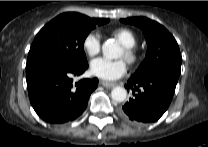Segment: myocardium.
Listing matches in <instances>:
<instances>
[{
    "instance_id": "1",
    "label": "myocardium",
    "mask_w": 208,
    "mask_h": 147,
    "mask_svg": "<svg viewBox=\"0 0 208 147\" xmlns=\"http://www.w3.org/2000/svg\"><path fill=\"white\" fill-rule=\"evenodd\" d=\"M124 53L126 61L131 65L136 64L140 59V53L134 46L124 47Z\"/></svg>"
}]
</instances>
